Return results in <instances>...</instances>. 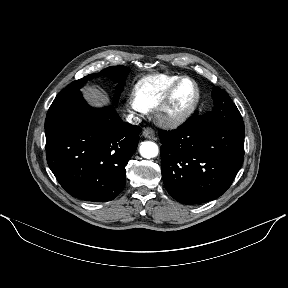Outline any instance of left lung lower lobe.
I'll return each mask as SVG.
<instances>
[{
    "mask_svg": "<svg viewBox=\"0 0 288 288\" xmlns=\"http://www.w3.org/2000/svg\"><path fill=\"white\" fill-rule=\"evenodd\" d=\"M165 188L177 201L199 204L221 196L244 160V133L194 115L176 130L159 132Z\"/></svg>",
    "mask_w": 288,
    "mask_h": 288,
    "instance_id": "0a47b994",
    "label": "left lung lower lobe"
}]
</instances>
